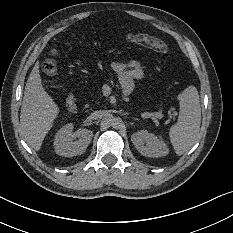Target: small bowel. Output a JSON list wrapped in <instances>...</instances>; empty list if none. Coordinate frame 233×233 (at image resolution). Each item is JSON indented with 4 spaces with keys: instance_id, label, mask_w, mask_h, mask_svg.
<instances>
[{
    "instance_id": "c3829d8e",
    "label": "small bowel",
    "mask_w": 233,
    "mask_h": 233,
    "mask_svg": "<svg viewBox=\"0 0 233 233\" xmlns=\"http://www.w3.org/2000/svg\"><path fill=\"white\" fill-rule=\"evenodd\" d=\"M111 68L118 75L122 93L125 97L133 92L135 81L144 78V66L138 60H116L112 62Z\"/></svg>"
}]
</instances>
